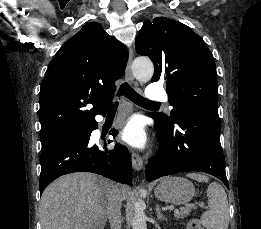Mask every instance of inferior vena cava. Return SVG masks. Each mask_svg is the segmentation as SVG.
<instances>
[{
  "label": "inferior vena cava",
  "instance_id": "602c4592",
  "mask_svg": "<svg viewBox=\"0 0 261 229\" xmlns=\"http://www.w3.org/2000/svg\"><path fill=\"white\" fill-rule=\"evenodd\" d=\"M119 189H113L112 195H108L107 215L110 223V229H121V203Z\"/></svg>",
  "mask_w": 261,
  "mask_h": 229
}]
</instances>
